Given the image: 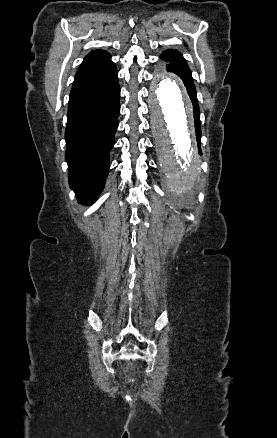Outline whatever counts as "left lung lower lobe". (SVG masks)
Returning a JSON list of instances; mask_svg holds the SVG:
<instances>
[{
  "label": "left lung lower lobe",
  "instance_id": "obj_1",
  "mask_svg": "<svg viewBox=\"0 0 277 438\" xmlns=\"http://www.w3.org/2000/svg\"><path fill=\"white\" fill-rule=\"evenodd\" d=\"M194 118H195L196 135H197V140L199 143L200 136H201L199 114H195Z\"/></svg>",
  "mask_w": 277,
  "mask_h": 438
}]
</instances>
